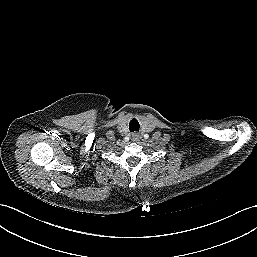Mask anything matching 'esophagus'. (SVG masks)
Instances as JSON below:
<instances>
[{
    "label": "esophagus",
    "mask_w": 257,
    "mask_h": 257,
    "mask_svg": "<svg viewBox=\"0 0 257 257\" xmlns=\"http://www.w3.org/2000/svg\"><path fill=\"white\" fill-rule=\"evenodd\" d=\"M139 139H140V135H139L138 133H133V134L131 135V140H132L133 142H137V141H139Z\"/></svg>",
    "instance_id": "obj_1"
}]
</instances>
